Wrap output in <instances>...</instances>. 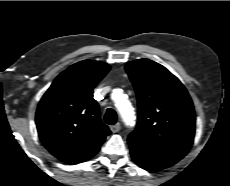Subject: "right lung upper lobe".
<instances>
[{
	"mask_svg": "<svg viewBox=\"0 0 230 186\" xmlns=\"http://www.w3.org/2000/svg\"><path fill=\"white\" fill-rule=\"evenodd\" d=\"M109 70L101 61L78 62L58 75L40 100L39 138L59 160L77 164L92 158L111 133L93 98V88Z\"/></svg>",
	"mask_w": 230,
	"mask_h": 186,
	"instance_id": "1",
	"label": "right lung upper lobe"
}]
</instances>
